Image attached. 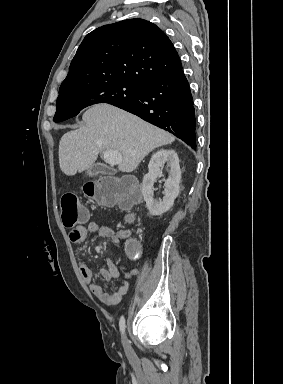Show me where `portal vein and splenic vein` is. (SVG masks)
<instances>
[{
  "label": "portal vein and splenic vein",
  "mask_w": 283,
  "mask_h": 384,
  "mask_svg": "<svg viewBox=\"0 0 283 384\" xmlns=\"http://www.w3.org/2000/svg\"><path fill=\"white\" fill-rule=\"evenodd\" d=\"M104 160L106 164H121L122 156L116 150H106L104 152Z\"/></svg>",
  "instance_id": "1"
}]
</instances>
